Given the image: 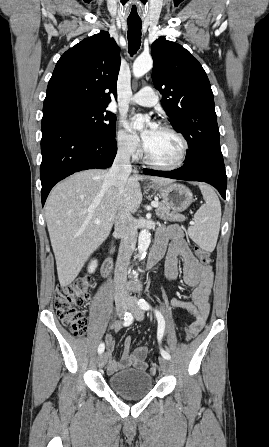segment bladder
<instances>
[{
  "label": "bladder",
  "instance_id": "bladder-1",
  "mask_svg": "<svg viewBox=\"0 0 269 447\" xmlns=\"http://www.w3.org/2000/svg\"><path fill=\"white\" fill-rule=\"evenodd\" d=\"M111 391L127 398H143L153 387L150 372L126 369L109 376Z\"/></svg>",
  "mask_w": 269,
  "mask_h": 447
}]
</instances>
